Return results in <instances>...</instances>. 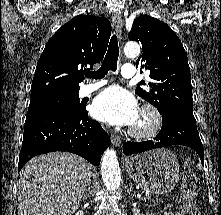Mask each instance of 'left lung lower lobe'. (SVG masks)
<instances>
[{
    "mask_svg": "<svg viewBox=\"0 0 221 215\" xmlns=\"http://www.w3.org/2000/svg\"><path fill=\"white\" fill-rule=\"evenodd\" d=\"M162 118L161 130L154 140L139 143L126 142L123 147L124 154L141 153L169 145H185L194 149L204 164V149L194 116L176 113Z\"/></svg>",
    "mask_w": 221,
    "mask_h": 215,
    "instance_id": "1",
    "label": "left lung lower lobe"
}]
</instances>
